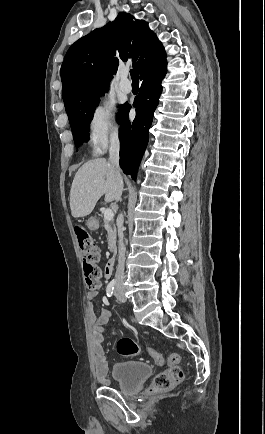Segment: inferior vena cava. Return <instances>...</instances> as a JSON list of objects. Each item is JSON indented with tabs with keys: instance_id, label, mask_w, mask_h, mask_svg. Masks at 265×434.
<instances>
[{
	"instance_id": "obj_1",
	"label": "inferior vena cava",
	"mask_w": 265,
	"mask_h": 434,
	"mask_svg": "<svg viewBox=\"0 0 265 434\" xmlns=\"http://www.w3.org/2000/svg\"><path fill=\"white\" fill-rule=\"evenodd\" d=\"M119 150H120V144L119 140H116V138H111L110 142V150H109V162L110 164H113L115 168H119ZM124 228L122 226H119L118 228V236H119V258H118V266H117V272L115 276V282L116 286H119V284H122L124 280V268H125V252L126 248L124 246L123 238H124Z\"/></svg>"
}]
</instances>
